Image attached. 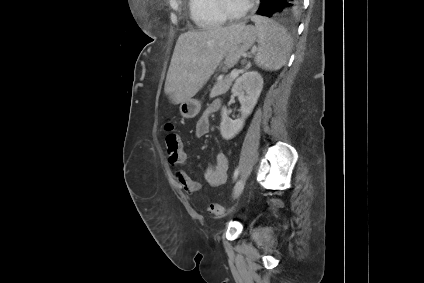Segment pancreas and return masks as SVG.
<instances>
[{"mask_svg": "<svg viewBox=\"0 0 424 283\" xmlns=\"http://www.w3.org/2000/svg\"><path fill=\"white\" fill-rule=\"evenodd\" d=\"M233 81L234 78L230 76L221 79L219 78L211 89L210 98L225 94L229 90Z\"/></svg>", "mask_w": 424, "mask_h": 283, "instance_id": "pancreas-1", "label": "pancreas"}]
</instances>
